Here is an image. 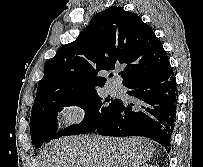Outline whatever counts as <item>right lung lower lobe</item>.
I'll list each match as a JSON object with an SVG mask.
<instances>
[{
	"instance_id": "98d812e1",
	"label": "right lung lower lobe",
	"mask_w": 203,
	"mask_h": 167,
	"mask_svg": "<svg viewBox=\"0 0 203 167\" xmlns=\"http://www.w3.org/2000/svg\"><path fill=\"white\" fill-rule=\"evenodd\" d=\"M135 102L119 100L115 109L98 125L101 135L144 136L160 143L169 152L176 122L177 85L169 62L156 72L125 85Z\"/></svg>"
}]
</instances>
